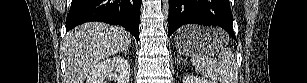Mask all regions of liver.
<instances>
[{
  "instance_id": "liver-1",
  "label": "liver",
  "mask_w": 307,
  "mask_h": 83,
  "mask_svg": "<svg viewBox=\"0 0 307 83\" xmlns=\"http://www.w3.org/2000/svg\"><path fill=\"white\" fill-rule=\"evenodd\" d=\"M130 44L124 28L104 23L89 22L69 31L63 44L65 83H84L98 61L127 50Z\"/></svg>"
}]
</instances>
